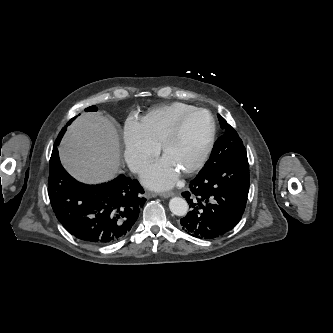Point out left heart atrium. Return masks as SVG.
Segmentation results:
<instances>
[{"label":"left heart atrium","mask_w":333,"mask_h":333,"mask_svg":"<svg viewBox=\"0 0 333 333\" xmlns=\"http://www.w3.org/2000/svg\"><path fill=\"white\" fill-rule=\"evenodd\" d=\"M178 175V170L164 157L143 171L142 180L154 190H165L176 183Z\"/></svg>","instance_id":"1"}]
</instances>
